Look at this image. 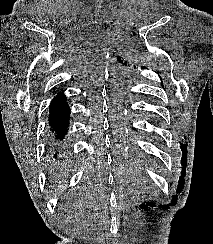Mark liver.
Here are the masks:
<instances>
[{
    "mask_svg": "<svg viewBox=\"0 0 213 244\" xmlns=\"http://www.w3.org/2000/svg\"><path fill=\"white\" fill-rule=\"evenodd\" d=\"M61 188H62L61 186H58V190H59V191L61 190Z\"/></svg>",
    "mask_w": 213,
    "mask_h": 244,
    "instance_id": "1",
    "label": "liver"
}]
</instances>
